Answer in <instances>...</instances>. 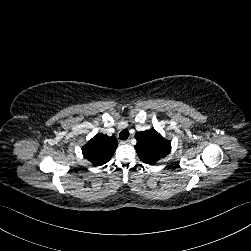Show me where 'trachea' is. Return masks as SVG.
<instances>
[{"label":"trachea","instance_id":"3493384b","mask_svg":"<svg viewBox=\"0 0 251 251\" xmlns=\"http://www.w3.org/2000/svg\"><path fill=\"white\" fill-rule=\"evenodd\" d=\"M128 137H129V132L126 129L122 130L119 134L120 140H126L128 139Z\"/></svg>","mask_w":251,"mask_h":251}]
</instances>
